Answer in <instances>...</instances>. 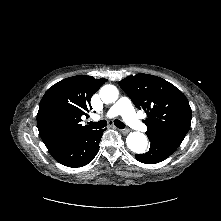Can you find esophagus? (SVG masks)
Listing matches in <instances>:
<instances>
[{
	"label": "esophagus",
	"mask_w": 221,
	"mask_h": 221,
	"mask_svg": "<svg viewBox=\"0 0 221 221\" xmlns=\"http://www.w3.org/2000/svg\"><path fill=\"white\" fill-rule=\"evenodd\" d=\"M123 134H127L129 133V130L128 129H119Z\"/></svg>",
	"instance_id": "esophagus-1"
}]
</instances>
